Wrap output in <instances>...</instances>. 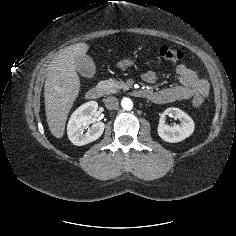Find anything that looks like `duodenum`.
<instances>
[{"label": "duodenum", "instance_id": "1", "mask_svg": "<svg viewBox=\"0 0 236 236\" xmlns=\"http://www.w3.org/2000/svg\"><path fill=\"white\" fill-rule=\"evenodd\" d=\"M103 92L104 88L102 86L92 87L86 92V98L88 100H97L102 96ZM133 92L139 96H144L146 94V91L141 89L133 90Z\"/></svg>", "mask_w": 236, "mask_h": 236}]
</instances>
